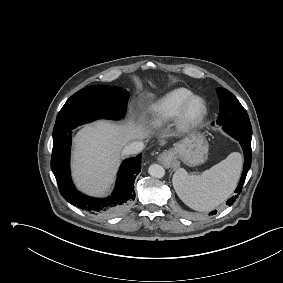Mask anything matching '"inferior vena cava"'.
Wrapping results in <instances>:
<instances>
[{
	"instance_id": "1",
	"label": "inferior vena cava",
	"mask_w": 283,
	"mask_h": 283,
	"mask_svg": "<svg viewBox=\"0 0 283 283\" xmlns=\"http://www.w3.org/2000/svg\"><path fill=\"white\" fill-rule=\"evenodd\" d=\"M143 148H144V143L142 141H133L124 147L123 154L124 155L138 154L143 150Z\"/></svg>"
}]
</instances>
